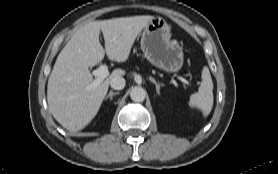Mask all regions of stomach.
Instances as JSON below:
<instances>
[{
  "label": "stomach",
  "mask_w": 278,
  "mask_h": 174,
  "mask_svg": "<svg viewBox=\"0 0 278 174\" xmlns=\"http://www.w3.org/2000/svg\"><path fill=\"white\" fill-rule=\"evenodd\" d=\"M141 49L152 65L165 72H178L183 66V49L177 40L171 39L170 26L161 17H154L145 26Z\"/></svg>",
  "instance_id": "1"
}]
</instances>
